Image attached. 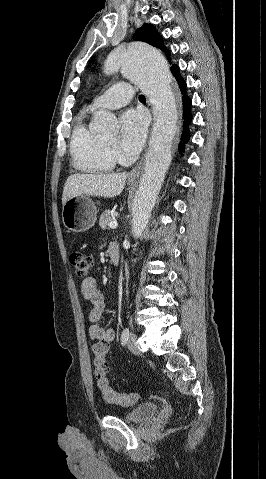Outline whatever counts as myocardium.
I'll list each match as a JSON object with an SVG mask.
<instances>
[{
	"mask_svg": "<svg viewBox=\"0 0 266 479\" xmlns=\"http://www.w3.org/2000/svg\"><path fill=\"white\" fill-rule=\"evenodd\" d=\"M104 142H105V144H106V146L108 147L109 150L114 148V144H113V143H110V142H108V141H106V140H104Z\"/></svg>",
	"mask_w": 266,
	"mask_h": 479,
	"instance_id": "1",
	"label": "myocardium"
}]
</instances>
